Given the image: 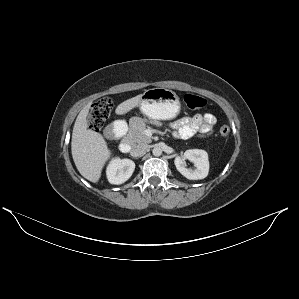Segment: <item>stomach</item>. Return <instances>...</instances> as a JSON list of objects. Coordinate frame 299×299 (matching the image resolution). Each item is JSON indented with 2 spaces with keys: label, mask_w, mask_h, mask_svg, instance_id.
Returning <instances> with one entry per match:
<instances>
[{
  "label": "stomach",
  "mask_w": 299,
  "mask_h": 299,
  "mask_svg": "<svg viewBox=\"0 0 299 299\" xmlns=\"http://www.w3.org/2000/svg\"><path fill=\"white\" fill-rule=\"evenodd\" d=\"M141 112L154 120H169L177 116L180 111L178 96L166 88L146 90L139 103Z\"/></svg>",
  "instance_id": "obj_1"
}]
</instances>
